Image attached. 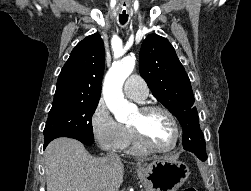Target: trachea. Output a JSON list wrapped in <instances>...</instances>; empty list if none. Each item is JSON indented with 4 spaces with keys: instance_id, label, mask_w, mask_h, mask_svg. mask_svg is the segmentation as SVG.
<instances>
[{
    "instance_id": "1",
    "label": "trachea",
    "mask_w": 251,
    "mask_h": 191,
    "mask_svg": "<svg viewBox=\"0 0 251 191\" xmlns=\"http://www.w3.org/2000/svg\"><path fill=\"white\" fill-rule=\"evenodd\" d=\"M127 20H128V15H125V14L119 15V22H120L122 25H124V24L127 22Z\"/></svg>"
}]
</instances>
